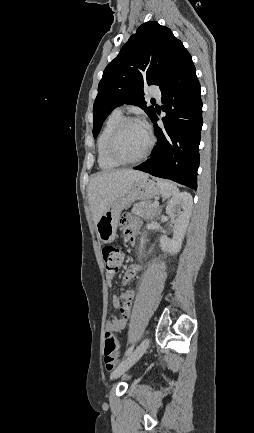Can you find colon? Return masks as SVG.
<instances>
[{
	"mask_svg": "<svg viewBox=\"0 0 254 433\" xmlns=\"http://www.w3.org/2000/svg\"><path fill=\"white\" fill-rule=\"evenodd\" d=\"M102 257L107 273H117L122 260L121 251L113 246H105L102 249ZM118 351L119 342L116 334L112 330H107L104 336V361L107 370L112 371L117 365Z\"/></svg>",
	"mask_w": 254,
	"mask_h": 433,
	"instance_id": "5ec220e1",
	"label": "colon"
}]
</instances>
